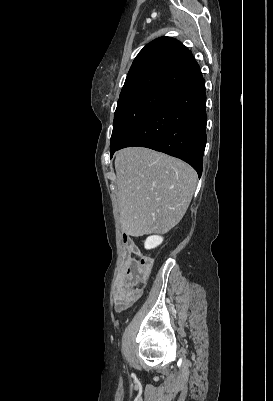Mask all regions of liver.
<instances>
[{"mask_svg":"<svg viewBox=\"0 0 273 401\" xmlns=\"http://www.w3.org/2000/svg\"><path fill=\"white\" fill-rule=\"evenodd\" d=\"M123 233L164 235L183 219L197 174L179 158L143 146L122 148L115 158Z\"/></svg>","mask_w":273,"mask_h":401,"instance_id":"liver-1","label":"liver"}]
</instances>
